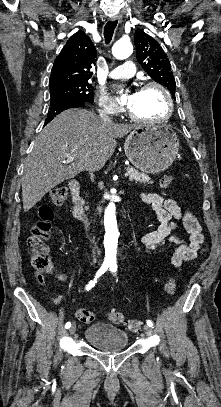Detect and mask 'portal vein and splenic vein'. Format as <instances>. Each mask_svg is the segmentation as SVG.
Returning a JSON list of instances; mask_svg holds the SVG:
<instances>
[{
  "mask_svg": "<svg viewBox=\"0 0 221 407\" xmlns=\"http://www.w3.org/2000/svg\"><path fill=\"white\" fill-rule=\"evenodd\" d=\"M65 156H66V158H67L66 162H72V161L75 160V157H74V156H71L70 154H65ZM124 175H125V177H128V176H129V172H126Z\"/></svg>",
  "mask_w": 221,
  "mask_h": 407,
  "instance_id": "portal-vein-and-splenic-vein-1",
  "label": "portal vein and splenic vein"
}]
</instances>
